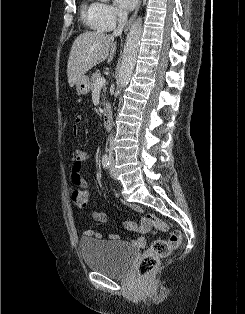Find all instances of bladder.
I'll use <instances>...</instances> for the list:
<instances>
[{
    "label": "bladder",
    "mask_w": 245,
    "mask_h": 314,
    "mask_svg": "<svg viewBox=\"0 0 245 314\" xmlns=\"http://www.w3.org/2000/svg\"><path fill=\"white\" fill-rule=\"evenodd\" d=\"M79 250L88 268L107 276L123 275L137 257L134 248L115 241L83 240Z\"/></svg>",
    "instance_id": "31cf9c89"
}]
</instances>
